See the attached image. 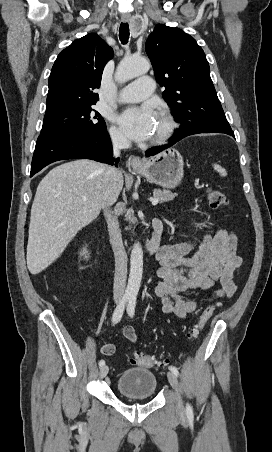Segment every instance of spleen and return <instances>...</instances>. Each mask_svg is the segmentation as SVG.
I'll list each match as a JSON object with an SVG mask.
<instances>
[{"mask_svg":"<svg viewBox=\"0 0 272 452\" xmlns=\"http://www.w3.org/2000/svg\"><path fill=\"white\" fill-rule=\"evenodd\" d=\"M214 169H215L217 172H219V174H220L221 176H226V175H227L226 170H225L224 168H222L220 165L214 164Z\"/></svg>","mask_w":272,"mask_h":452,"instance_id":"3e777b00","label":"spleen"}]
</instances>
